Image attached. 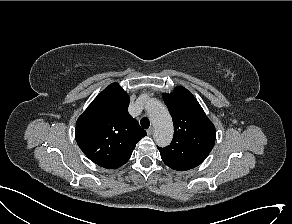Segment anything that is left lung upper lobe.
I'll use <instances>...</instances> for the list:
<instances>
[{
  "label": "left lung upper lobe",
  "mask_w": 292,
  "mask_h": 224,
  "mask_svg": "<svg viewBox=\"0 0 292 224\" xmlns=\"http://www.w3.org/2000/svg\"><path fill=\"white\" fill-rule=\"evenodd\" d=\"M162 96L173 119L174 136L169 146L158 147L161 158L174 170L197 167L214 146L215 127L186 88L178 86Z\"/></svg>",
  "instance_id": "left-lung-upper-lobe-1"
}]
</instances>
